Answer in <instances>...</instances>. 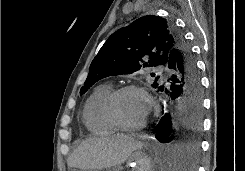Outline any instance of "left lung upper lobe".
Here are the masks:
<instances>
[{
	"label": "left lung upper lobe",
	"instance_id": "left-lung-upper-lobe-1",
	"mask_svg": "<svg viewBox=\"0 0 245 171\" xmlns=\"http://www.w3.org/2000/svg\"><path fill=\"white\" fill-rule=\"evenodd\" d=\"M185 43L170 20L154 15L141 17L107 39L90 65L80 95L102 78L133 74L142 67L166 66L170 55ZM158 78L152 85L155 88Z\"/></svg>",
	"mask_w": 245,
	"mask_h": 171
}]
</instances>
